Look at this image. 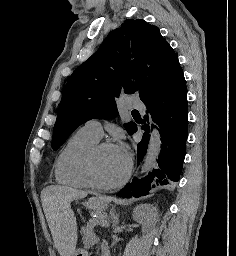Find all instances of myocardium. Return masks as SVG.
Masks as SVG:
<instances>
[{
    "mask_svg": "<svg viewBox=\"0 0 236 256\" xmlns=\"http://www.w3.org/2000/svg\"><path fill=\"white\" fill-rule=\"evenodd\" d=\"M109 143L97 144L89 154L87 161V175L91 186L101 191H111L122 187L130 178L132 172V161L127 159V166L123 175L113 183H103L100 181L96 171V160L99 153L107 147H110Z\"/></svg>",
    "mask_w": 236,
    "mask_h": 256,
    "instance_id": "f54148a6",
    "label": "myocardium"
}]
</instances>
